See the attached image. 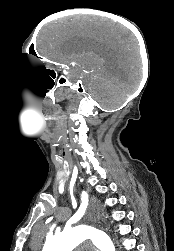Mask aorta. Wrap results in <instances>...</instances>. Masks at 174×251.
I'll return each mask as SVG.
<instances>
[{"instance_id":"obj_1","label":"aorta","mask_w":174,"mask_h":251,"mask_svg":"<svg viewBox=\"0 0 174 251\" xmlns=\"http://www.w3.org/2000/svg\"><path fill=\"white\" fill-rule=\"evenodd\" d=\"M91 241L100 251H116L110 237L98 227L96 219H90L84 225L64 230L48 240L42 251H72L83 242Z\"/></svg>"}]
</instances>
